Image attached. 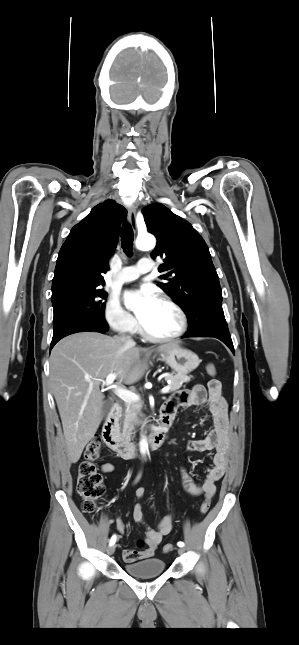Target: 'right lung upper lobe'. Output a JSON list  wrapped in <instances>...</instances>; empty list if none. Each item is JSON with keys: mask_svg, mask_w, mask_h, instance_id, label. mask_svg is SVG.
<instances>
[{"mask_svg": "<svg viewBox=\"0 0 299 645\" xmlns=\"http://www.w3.org/2000/svg\"><path fill=\"white\" fill-rule=\"evenodd\" d=\"M125 208L113 200L96 205L75 225L62 245L52 282V295L73 288H99L109 269Z\"/></svg>", "mask_w": 299, "mask_h": 645, "instance_id": "right-lung-upper-lobe-1", "label": "right lung upper lobe"}]
</instances>
